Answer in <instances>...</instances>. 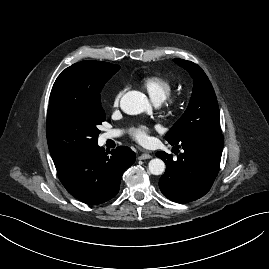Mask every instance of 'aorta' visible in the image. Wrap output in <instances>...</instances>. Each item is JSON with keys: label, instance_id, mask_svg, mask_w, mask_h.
<instances>
[{"label": "aorta", "instance_id": "1", "mask_svg": "<svg viewBox=\"0 0 269 269\" xmlns=\"http://www.w3.org/2000/svg\"><path fill=\"white\" fill-rule=\"evenodd\" d=\"M120 106L129 115H137L150 108L147 97L139 91H129L124 94ZM148 169L153 175H161L165 171V163L159 158L152 159L148 163Z\"/></svg>", "mask_w": 269, "mask_h": 269}]
</instances>
